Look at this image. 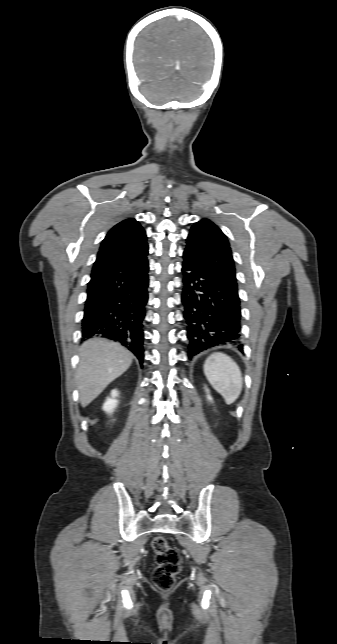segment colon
Segmentation results:
<instances>
[{
	"mask_svg": "<svg viewBox=\"0 0 337 644\" xmlns=\"http://www.w3.org/2000/svg\"><path fill=\"white\" fill-rule=\"evenodd\" d=\"M152 547L156 560L152 580L159 589L168 591L174 587L176 576L180 571V555L162 536L153 539Z\"/></svg>",
	"mask_w": 337,
	"mask_h": 644,
	"instance_id": "obj_1",
	"label": "colon"
}]
</instances>
